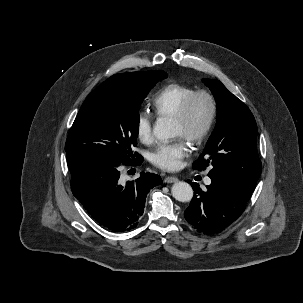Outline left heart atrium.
Here are the masks:
<instances>
[{"label": "left heart atrium", "instance_id": "39dd6f15", "mask_svg": "<svg viewBox=\"0 0 303 303\" xmlns=\"http://www.w3.org/2000/svg\"><path fill=\"white\" fill-rule=\"evenodd\" d=\"M189 148L183 137L168 144H162L150 154V161L163 170H177L188 155Z\"/></svg>", "mask_w": 303, "mask_h": 303}]
</instances>
